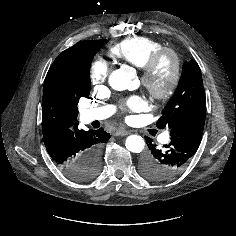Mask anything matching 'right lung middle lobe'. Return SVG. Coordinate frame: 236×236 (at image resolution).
Segmentation results:
<instances>
[{"label":"right lung middle lobe","mask_w":236,"mask_h":236,"mask_svg":"<svg viewBox=\"0 0 236 236\" xmlns=\"http://www.w3.org/2000/svg\"><path fill=\"white\" fill-rule=\"evenodd\" d=\"M107 43L103 40L98 44L83 49L77 59L74 68L72 81L69 91L73 98L78 102L81 97H88L90 93V64L97 51ZM100 169V153L90 155L84 165L81 166V173L78 176L81 181L89 180L95 177ZM71 174V178H75Z\"/></svg>","instance_id":"1"}]
</instances>
